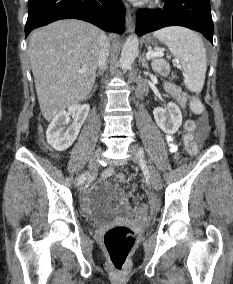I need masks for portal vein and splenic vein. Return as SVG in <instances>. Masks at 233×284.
I'll use <instances>...</instances> for the list:
<instances>
[{
    "label": "portal vein and splenic vein",
    "instance_id": "1",
    "mask_svg": "<svg viewBox=\"0 0 233 284\" xmlns=\"http://www.w3.org/2000/svg\"><path fill=\"white\" fill-rule=\"evenodd\" d=\"M164 54L162 52H159V51H148L146 53V58L147 59H151L153 57H156V56H159V57H162ZM84 70H81V72H83Z\"/></svg>",
    "mask_w": 233,
    "mask_h": 284
}]
</instances>
